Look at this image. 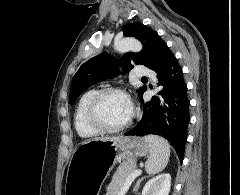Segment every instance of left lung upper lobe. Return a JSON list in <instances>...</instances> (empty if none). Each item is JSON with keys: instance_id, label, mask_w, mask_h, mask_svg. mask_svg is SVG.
<instances>
[{"instance_id": "5c2ea615", "label": "left lung upper lobe", "mask_w": 240, "mask_h": 195, "mask_svg": "<svg viewBox=\"0 0 240 195\" xmlns=\"http://www.w3.org/2000/svg\"><path fill=\"white\" fill-rule=\"evenodd\" d=\"M123 30L124 36L135 37L143 45V50L140 53L128 52L123 56L121 66L124 72H128L135 64L144 65L156 72L172 54L157 32L141 23H132L124 26ZM117 66L118 61L106 52L86 61L73 78L70 104L89 86L104 79L117 76L120 73ZM146 90L145 86L137 90L142 102V95Z\"/></svg>"}]
</instances>
